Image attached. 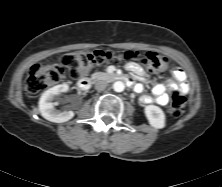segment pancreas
I'll return each mask as SVG.
<instances>
[{
	"instance_id": "pancreas-1",
	"label": "pancreas",
	"mask_w": 222,
	"mask_h": 187,
	"mask_svg": "<svg viewBox=\"0 0 222 187\" xmlns=\"http://www.w3.org/2000/svg\"><path fill=\"white\" fill-rule=\"evenodd\" d=\"M97 76H101L103 78L112 77V75H110L108 73H96V74H93V78H96Z\"/></svg>"
}]
</instances>
